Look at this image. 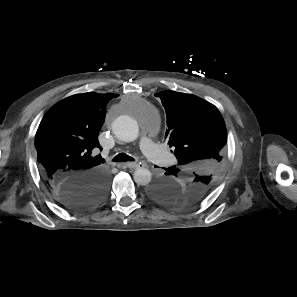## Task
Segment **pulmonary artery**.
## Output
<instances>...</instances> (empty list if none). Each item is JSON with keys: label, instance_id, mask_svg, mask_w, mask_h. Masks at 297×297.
I'll return each instance as SVG.
<instances>
[{"label": "pulmonary artery", "instance_id": "pulmonary-artery-1", "mask_svg": "<svg viewBox=\"0 0 297 297\" xmlns=\"http://www.w3.org/2000/svg\"><path fill=\"white\" fill-rule=\"evenodd\" d=\"M140 146L143 153L159 165L169 166L174 161L173 157L165 149L155 144L149 137H142Z\"/></svg>", "mask_w": 297, "mask_h": 297}]
</instances>
